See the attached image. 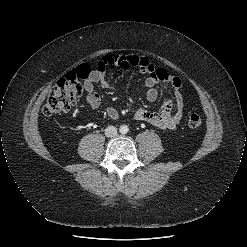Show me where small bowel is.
I'll return each mask as SVG.
<instances>
[{"mask_svg":"<svg viewBox=\"0 0 247 247\" xmlns=\"http://www.w3.org/2000/svg\"><path fill=\"white\" fill-rule=\"evenodd\" d=\"M108 67H117L120 70H127L130 67H137L142 73L147 74L144 82L146 98L150 102L158 99V84H168L174 90V101L166 98L162 107L157 111H150L139 108L134 113L138 121L148 122L162 129H176L179 125L185 108L183 86L181 80L169 73L165 68L156 67L149 57L144 55H118L106 54L99 61L97 68L92 70L84 81V88L87 92L86 104L96 109L100 106L101 98L95 91V84L104 89H114L105 74ZM107 116L116 120L119 116L117 109L109 106L106 110Z\"/></svg>","mask_w":247,"mask_h":247,"instance_id":"small-bowel-1","label":"small bowel"}]
</instances>
